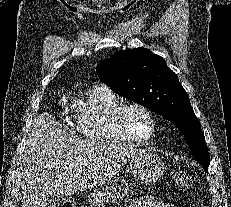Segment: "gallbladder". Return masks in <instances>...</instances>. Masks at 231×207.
<instances>
[{"instance_id": "obj_1", "label": "gallbladder", "mask_w": 231, "mask_h": 207, "mask_svg": "<svg viewBox=\"0 0 231 207\" xmlns=\"http://www.w3.org/2000/svg\"><path fill=\"white\" fill-rule=\"evenodd\" d=\"M61 199H62V196L59 193L55 192V193L50 194L47 197V207H51V205H55L59 203Z\"/></svg>"}]
</instances>
